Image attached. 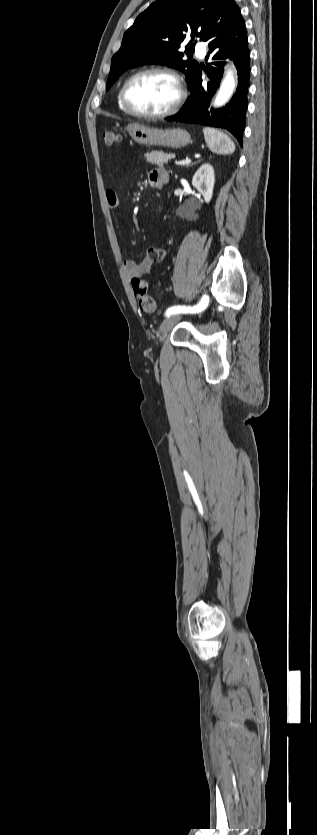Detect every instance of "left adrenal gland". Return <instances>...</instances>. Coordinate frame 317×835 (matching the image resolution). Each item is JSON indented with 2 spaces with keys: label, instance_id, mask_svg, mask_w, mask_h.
I'll list each match as a JSON object with an SVG mask.
<instances>
[{
  "label": "left adrenal gland",
  "instance_id": "a2214340",
  "mask_svg": "<svg viewBox=\"0 0 317 835\" xmlns=\"http://www.w3.org/2000/svg\"><path fill=\"white\" fill-rule=\"evenodd\" d=\"M193 164H196V162H194V163H191V164H190V165H189V166H192V165H193Z\"/></svg>",
  "mask_w": 317,
  "mask_h": 835
}]
</instances>
